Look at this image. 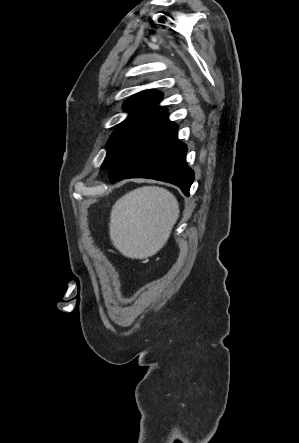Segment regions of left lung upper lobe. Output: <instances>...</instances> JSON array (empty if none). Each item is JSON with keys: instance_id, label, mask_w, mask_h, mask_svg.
I'll list each match as a JSON object with an SVG mask.
<instances>
[{"instance_id": "left-lung-upper-lobe-1", "label": "left lung upper lobe", "mask_w": 299, "mask_h": 443, "mask_svg": "<svg viewBox=\"0 0 299 443\" xmlns=\"http://www.w3.org/2000/svg\"><path fill=\"white\" fill-rule=\"evenodd\" d=\"M162 94L156 90L141 91L125 101L124 109L129 116L112 133L106 149L107 155L101 166L111 169L126 151L166 113L158 104Z\"/></svg>"}]
</instances>
